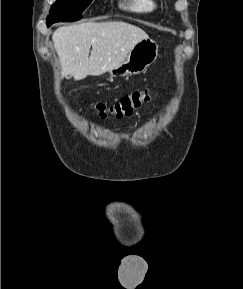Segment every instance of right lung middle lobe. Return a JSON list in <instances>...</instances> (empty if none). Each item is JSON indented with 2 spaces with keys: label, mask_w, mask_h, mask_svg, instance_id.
<instances>
[{
  "label": "right lung middle lobe",
  "mask_w": 243,
  "mask_h": 289,
  "mask_svg": "<svg viewBox=\"0 0 243 289\" xmlns=\"http://www.w3.org/2000/svg\"><path fill=\"white\" fill-rule=\"evenodd\" d=\"M92 0H57L51 7L47 23L73 22L81 18V13Z\"/></svg>",
  "instance_id": "dd1d6c3e"
}]
</instances>
